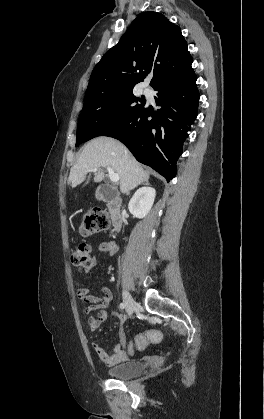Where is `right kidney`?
Here are the masks:
<instances>
[{
  "label": "right kidney",
  "mask_w": 264,
  "mask_h": 419,
  "mask_svg": "<svg viewBox=\"0 0 264 419\" xmlns=\"http://www.w3.org/2000/svg\"><path fill=\"white\" fill-rule=\"evenodd\" d=\"M155 196L156 191L152 187L138 189L128 204L130 213L139 219L144 218L151 210Z\"/></svg>",
  "instance_id": "ca27d5eb"
}]
</instances>
